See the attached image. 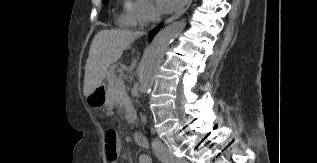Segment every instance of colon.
Segmentation results:
<instances>
[{"label":"colon","instance_id":"obj_1","mask_svg":"<svg viewBox=\"0 0 317 163\" xmlns=\"http://www.w3.org/2000/svg\"><path fill=\"white\" fill-rule=\"evenodd\" d=\"M105 154L109 163H113L119 154L118 149V134L113 129H108L104 136Z\"/></svg>","mask_w":317,"mask_h":163}]
</instances>
